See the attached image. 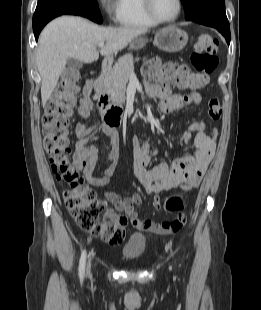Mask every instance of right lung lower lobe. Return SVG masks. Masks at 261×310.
<instances>
[{
    "label": "right lung lower lobe",
    "mask_w": 261,
    "mask_h": 310,
    "mask_svg": "<svg viewBox=\"0 0 261 310\" xmlns=\"http://www.w3.org/2000/svg\"><path fill=\"white\" fill-rule=\"evenodd\" d=\"M60 16L59 14H54V15H49L46 16L42 19H40L38 22L33 24V31H34V35H35V39L36 41L38 40L39 34L41 32V30L43 29V27L53 18Z\"/></svg>",
    "instance_id": "right-lung-lower-lobe-1"
}]
</instances>
